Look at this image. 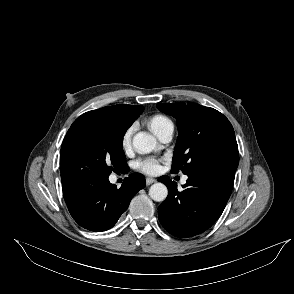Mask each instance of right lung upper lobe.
Here are the masks:
<instances>
[{
    "mask_svg": "<svg viewBox=\"0 0 294 294\" xmlns=\"http://www.w3.org/2000/svg\"><path fill=\"white\" fill-rule=\"evenodd\" d=\"M143 110V106L119 104L86 112L78 117L75 122L87 119H100L129 128L134 120L137 119L143 112Z\"/></svg>",
    "mask_w": 294,
    "mask_h": 294,
    "instance_id": "1",
    "label": "right lung upper lobe"
}]
</instances>
